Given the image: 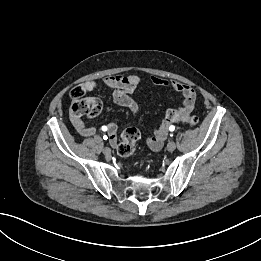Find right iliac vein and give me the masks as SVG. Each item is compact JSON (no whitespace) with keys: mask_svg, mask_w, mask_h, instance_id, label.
I'll return each mask as SVG.
<instances>
[{"mask_svg":"<svg viewBox=\"0 0 261 261\" xmlns=\"http://www.w3.org/2000/svg\"><path fill=\"white\" fill-rule=\"evenodd\" d=\"M103 153H104L105 156H110L111 155V149L108 148V147H105L103 149Z\"/></svg>","mask_w":261,"mask_h":261,"instance_id":"63e3f726","label":"right iliac vein"}]
</instances>
